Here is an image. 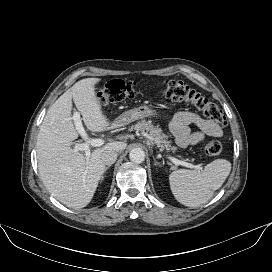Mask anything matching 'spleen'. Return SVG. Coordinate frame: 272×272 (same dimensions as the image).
<instances>
[{"label":"spleen","instance_id":"1","mask_svg":"<svg viewBox=\"0 0 272 272\" xmlns=\"http://www.w3.org/2000/svg\"><path fill=\"white\" fill-rule=\"evenodd\" d=\"M231 171V163L217 159L207 164L202 171L179 169L169 175L171 191L175 199L191 208L208 202Z\"/></svg>","mask_w":272,"mask_h":272}]
</instances>
